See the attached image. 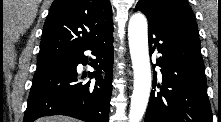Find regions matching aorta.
<instances>
[{
	"mask_svg": "<svg viewBox=\"0 0 221 122\" xmlns=\"http://www.w3.org/2000/svg\"><path fill=\"white\" fill-rule=\"evenodd\" d=\"M128 40L134 71V89L131 96L129 122H140L146 111L151 91L148 25L143 14L136 13L130 18Z\"/></svg>",
	"mask_w": 221,
	"mask_h": 122,
	"instance_id": "obj_1",
	"label": "aorta"
}]
</instances>
